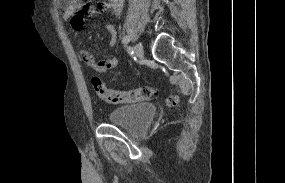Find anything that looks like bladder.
Returning <instances> with one entry per match:
<instances>
[{"mask_svg":"<svg viewBox=\"0 0 285 183\" xmlns=\"http://www.w3.org/2000/svg\"><path fill=\"white\" fill-rule=\"evenodd\" d=\"M156 114V108L150 103L125 105L112 110L109 121L125 129L138 132L144 129Z\"/></svg>","mask_w":285,"mask_h":183,"instance_id":"obj_1","label":"bladder"}]
</instances>
